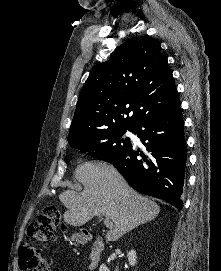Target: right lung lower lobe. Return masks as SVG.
<instances>
[{"label": "right lung lower lobe", "mask_w": 221, "mask_h": 271, "mask_svg": "<svg viewBox=\"0 0 221 271\" xmlns=\"http://www.w3.org/2000/svg\"><path fill=\"white\" fill-rule=\"evenodd\" d=\"M180 102L138 123L136 134L149 152L133 146L112 164L136 191L163 199L181 210L186 142ZM141 156L142 159L139 157Z\"/></svg>", "instance_id": "1"}]
</instances>
